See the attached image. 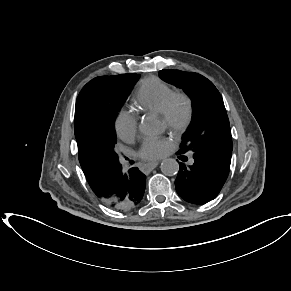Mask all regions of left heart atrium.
I'll return each instance as SVG.
<instances>
[{
  "instance_id": "left-heart-atrium-1",
  "label": "left heart atrium",
  "mask_w": 291,
  "mask_h": 291,
  "mask_svg": "<svg viewBox=\"0 0 291 291\" xmlns=\"http://www.w3.org/2000/svg\"><path fill=\"white\" fill-rule=\"evenodd\" d=\"M171 145V140L168 137H151L143 141L138 155L140 158L154 161L164 157Z\"/></svg>"
}]
</instances>
